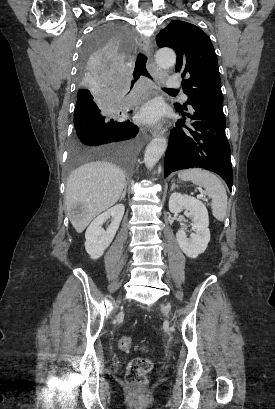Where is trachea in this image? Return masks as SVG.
I'll list each match as a JSON object with an SVG mask.
<instances>
[{"label":"trachea","mask_w":275,"mask_h":409,"mask_svg":"<svg viewBox=\"0 0 275 409\" xmlns=\"http://www.w3.org/2000/svg\"><path fill=\"white\" fill-rule=\"evenodd\" d=\"M146 62H147L146 55H144L142 53L138 54L135 69H134V72H133L134 80H132V83H131L132 86L134 85V82H136V80H138V78L141 75H145V77H150V75H149V73H148V71L146 69ZM163 90H165L167 92L177 91L174 88H163Z\"/></svg>","instance_id":"3493384b"}]
</instances>
